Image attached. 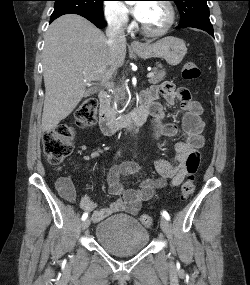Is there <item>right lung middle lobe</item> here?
Returning a JSON list of instances; mask_svg holds the SVG:
<instances>
[{"mask_svg": "<svg viewBox=\"0 0 250 285\" xmlns=\"http://www.w3.org/2000/svg\"><path fill=\"white\" fill-rule=\"evenodd\" d=\"M54 11L50 19L64 14H78L81 16H90L104 19L103 1L104 0H54Z\"/></svg>", "mask_w": 250, "mask_h": 285, "instance_id": "dd1d6c3e", "label": "right lung middle lobe"}]
</instances>
